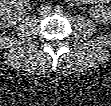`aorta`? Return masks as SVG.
Returning <instances> with one entry per match:
<instances>
[{
	"label": "aorta",
	"instance_id": "aorta-1",
	"mask_svg": "<svg viewBox=\"0 0 111 106\" xmlns=\"http://www.w3.org/2000/svg\"><path fill=\"white\" fill-rule=\"evenodd\" d=\"M63 7L61 5H56V10L57 11H62Z\"/></svg>",
	"mask_w": 111,
	"mask_h": 106
}]
</instances>
